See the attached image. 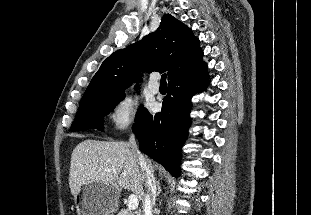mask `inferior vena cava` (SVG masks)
Masks as SVG:
<instances>
[{
  "mask_svg": "<svg viewBox=\"0 0 311 215\" xmlns=\"http://www.w3.org/2000/svg\"><path fill=\"white\" fill-rule=\"evenodd\" d=\"M129 144L132 152L138 158L139 165L145 177V186L147 188V193L145 194L143 200V212L144 215H152V208L155 204L156 197V181L150 166L147 164L146 159L138 150L134 134L130 136Z\"/></svg>",
  "mask_w": 311,
  "mask_h": 215,
  "instance_id": "602c4592",
  "label": "inferior vena cava"
}]
</instances>
